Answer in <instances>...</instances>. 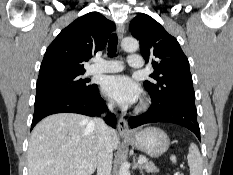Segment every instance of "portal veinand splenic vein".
<instances>
[{
    "mask_svg": "<svg viewBox=\"0 0 233 175\" xmlns=\"http://www.w3.org/2000/svg\"><path fill=\"white\" fill-rule=\"evenodd\" d=\"M146 161H147V159L144 158V157H140V158L138 159V163H139V164H143V163H145ZM83 162H85V161H83Z\"/></svg>",
    "mask_w": 233,
    "mask_h": 175,
    "instance_id": "portal-vein-and-splenic-vein-1",
    "label": "portal vein and splenic vein"
}]
</instances>
